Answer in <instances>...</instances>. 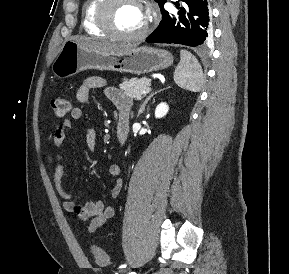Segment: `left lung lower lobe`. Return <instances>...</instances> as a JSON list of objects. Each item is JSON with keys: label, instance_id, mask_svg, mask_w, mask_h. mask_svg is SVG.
<instances>
[{"label": "left lung lower lobe", "instance_id": "0a47b994", "mask_svg": "<svg viewBox=\"0 0 289 274\" xmlns=\"http://www.w3.org/2000/svg\"><path fill=\"white\" fill-rule=\"evenodd\" d=\"M186 3L177 15L164 10L161 5L162 20L146 42L176 43L187 46H204L212 36L210 9L207 0H182ZM178 6V4H176Z\"/></svg>", "mask_w": 289, "mask_h": 274}]
</instances>
